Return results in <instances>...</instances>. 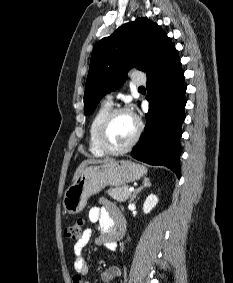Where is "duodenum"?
<instances>
[{"label": "duodenum", "mask_w": 233, "mask_h": 283, "mask_svg": "<svg viewBox=\"0 0 233 283\" xmlns=\"http://www.w3.org/2000/svg\"><path fill=\"white\" fill-rule=\"evenodd\" d=\"M119 227H120V230H123V223H121V224L119 225ZM119 235H120V233H118V234L116 235V238H118Z\"/></svg>", "instance_id": "1"}]
</instances>
